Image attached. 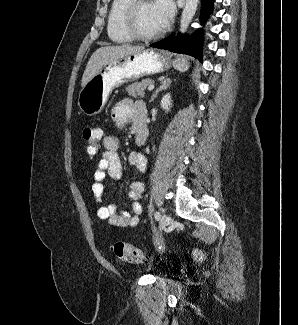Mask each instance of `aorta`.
<instances>
[{
    "mask_svg": "<svg viewBox=\"0 0 298 325\" xmlns=\"http://www.w3.org/2000/svg\"><path fill=\"white\" fill-rule=\"evenodd\" d=\"M199 0H186L179 22L180 34H185L198 6Z\"/></svg>",
    "mask_w": 298,
    "mask_h": 325,
    "instance_id": "aorta-1",
    "label": "aorta"
}]
</instances>
